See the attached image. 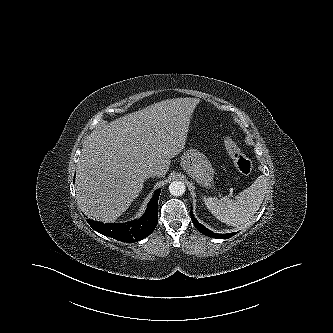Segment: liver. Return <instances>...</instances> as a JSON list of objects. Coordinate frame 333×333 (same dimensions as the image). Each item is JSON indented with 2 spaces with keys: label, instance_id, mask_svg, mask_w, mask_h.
<instances>
[{
  "label": "liver",
  "instance_id": "1",
  "mask_svg": "<svg viewBox=\"0 0 333 333\" xmlns=\"http://www.w3.org/2000/svg\"><path fill=\"white\" fill-rule=\"evenodd\" d=\"M198 100L174 98L120 117L92 134L82 149L75 189L91 219L113 223L142 191L152 168L164 177L186 145Z\"/></svg>",
  "mask_w": 333,
  "mask_h": 333
}]
</instances>
